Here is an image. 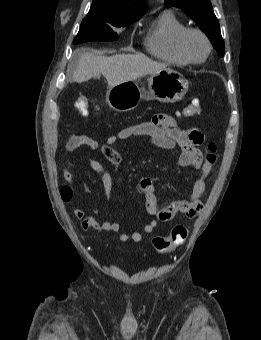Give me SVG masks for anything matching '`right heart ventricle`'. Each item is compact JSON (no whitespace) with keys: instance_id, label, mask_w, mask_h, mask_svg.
<instances>
[{"instance_id":"1","label":"right heart ventricle","mask_w":261,"mask_h":340,"mask_svg":"<svg viewBox=\"0 0 261 340\" xmlns=\"http://www.w3.org/2000/svg\"><path fill=\"white\" fill-rule=\"evenodd\" d=\"M186 28L184 22L171 10H164L149 27L144 45L154 57L177 66L190 64L180 53L177 40Z\"/></svg>"}]
</instances>
